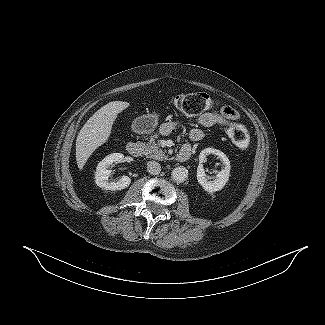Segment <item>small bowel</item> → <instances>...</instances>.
<instances>
[{"label": "small bowel", "instance_id": "c3829d8e", "mask_svg": "<svg viewBox=\"0 0 325 325\" xmlns=\"http://www.w3.org/2000/svg\"><path fill=\"white\" fill-rule=\"evenodd\" d=\"M239 119V113L230 106H223L219 110L210 111L204 113L198 118V123L203 127H215V126H229L231 122ZM177 124L172 121H168L162 124L160 131L162 134H169L175 128ZM192 142H199L204 138V132L200 128H194L189 134Z\"/></svg>", "mask_w": 325, "mask_h": 325}]
</instances>
